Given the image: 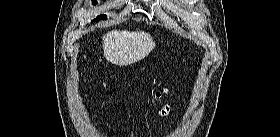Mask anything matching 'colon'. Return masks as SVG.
I'll return each mask as SVG.
<instances>
[{
	"mask_svg": "<svg viewBox=\"0 0 280 137\" xmlns=\"http://www.w3.org/2000/svg\"><path fill=\"white\" fill-rule=\"evenodd\" d=\"M165 92H166L165 89L158 90L155 94V97L160 98L165 94Z\"/></svg>",
	"mask_w": 280,
	"mask_h": 137,
	"instance_id": "1",
	"label": "colon"
}]
</instances>
